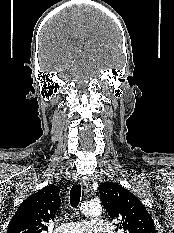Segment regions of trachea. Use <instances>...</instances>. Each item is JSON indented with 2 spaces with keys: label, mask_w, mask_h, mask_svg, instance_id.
Listing matches in <instances>:
<instances>
[{
  "label": "trachea",
  "mask_w": 174,
  "mask_h": 233,
  "mask_svg": "<svg viewBox=\"0 0 174 233\" xmlns=\"http://www.w3.org/2000/svg\"><path fill=\"white\" fill-rule=\"evenodd\" d=\"M81 197V185H73L70 190V204L76 208L80 202Z\"/></svg>",
  "instance_id": "1"
}]
</instances>
